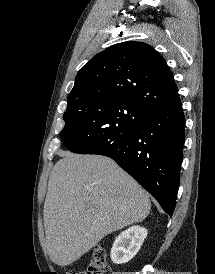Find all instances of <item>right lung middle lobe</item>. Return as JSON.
Masks as SVG:
<instances>
[{"label": "right lung middle lobe", "mask_w": 215, "mask_h": 274, "mask_svg": "<svg viewBox=\"0 0 215 274\" xmlns=\"http://www.w3.org/2000/svg\"><path fill=\"white\" fill-rule=\"evenodd\" d=\"M147 114L146 110L124 101L68 102L61 139L72 152L89 154L129 134Z\"/></svg>", "instance_id": "obj_1"}]
</instances>
